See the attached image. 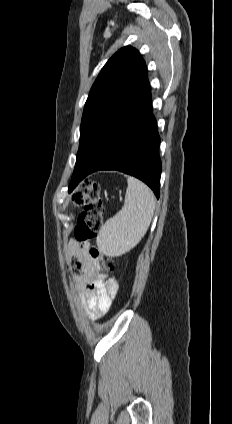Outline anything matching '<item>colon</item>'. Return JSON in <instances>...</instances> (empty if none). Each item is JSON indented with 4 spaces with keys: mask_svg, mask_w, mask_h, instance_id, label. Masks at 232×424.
I'll use <instances>...</instances> for the list:
<instances>
[{
    "mask_svg": "<svg viewBox=\"0 0 232 424\" xmlns=\"http://www.w3.org/2000/svg\"><path fill=\"white\" fill-rule=\"evenodd\" d=\"M71 203L83 210L79 214L74 230L75 238L82 243L95 241L101 229L104 205L101 199L100 185L93 179H87L82 186L71 195ZM92 257H98L100 250L96 247L90 249ZM101 266L110 274L114 272V261L103 258Z\"/></svg>",
    "mask_w": 232,
    "mask_h": 424,
    "instance_id": "obj_1",
    "label": "colon"
}]
</instances>
